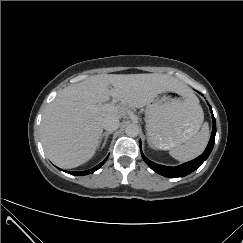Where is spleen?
Returning <instances> with one entry per match:
<instances>
[{"label": "spleen", "instance_id": "3e777b00", "mask_svg": "<svg viewBox=\"0 0 243 243\" xmlns=\"http://www.w3.org/2000/svg\"><path fill=\"white\" fill-rule=\"evenodd\" d=\"M199 114L201 117V124L203 122V111L198 106ZM209 125L205 122L201 130L198 131L192 138L184 144H180L170 150V155L178 161L185 162L192 160L199 156L207 146L209 140Z\"/></svg>", "mask_w": 243, "mask_h": 243}]
</instances>
